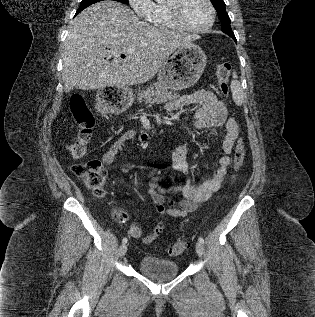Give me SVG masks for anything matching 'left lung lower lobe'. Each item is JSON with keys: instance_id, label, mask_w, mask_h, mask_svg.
I'll list each match as a JSON object with an SVG mask.
<instances>
[{"instance_id": "obj_1", "label": "left lung lower lobe", "mask_w": 315, "mask_h": 317, "mask_svg": "<svg viewBox=\"0 0 315 317\" xmlns=\"http://www.w3.org/2000/svg\"><path fill=\"white\" fill-rule=\"evenodd\" d=\"M231 38H233V40H234V41H236V38H235V36H233V37H231Z\"/></svg>"}]
</instances>
